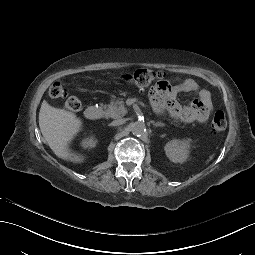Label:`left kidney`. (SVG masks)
<instances>
[{
	"instance_id": "5707ae66",
	"label": "left kidney",
	"mask_w": 255,
	"mask_h": 255,
	"mask_svg": "<svg viewBox=\"0 0 255 255\" xmlns=\"http://www.w3.org/2000/svg\"><path fill=\"white\" fill-rule=\"evenodd\" d=\"M191 139L169 141L164 150L167 157L174 163H183L187 160L189 155Z\"/></svg>"
}]
</instances>
